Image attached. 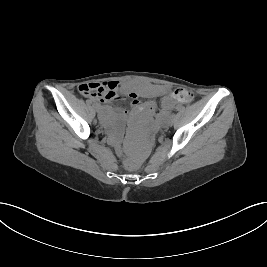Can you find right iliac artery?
I'll return each mask as SVG.
<instances>
[{
    "label": "right iliac artery",
    "mask_w": 267,
    "mask_h": 267,
    "mask_svg": "<svg viewBox=\"0 0 267 267\" xmlns=\"http://www.w3.org/2000/svg\"><path fill=\"white\" fill-rule=\"evenodd\" d=\"M92 106L95 108V107H97V104H96V103H93V105H92Z\"/></svg>",
    "instance_id": "82829eb1"
}]
</instances>
